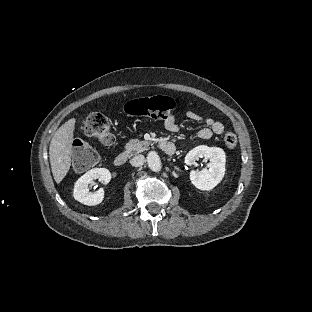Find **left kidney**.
<instances>
[{"instance_id":"1","label":"left kidney","mask_w":312,"mask_h":312,"mask_svg":"<svg viewBox=\"0 0 312 312\" xmlns=\"http://www.w3.org/2000/svg\"><path fill=\"white\" fill-rule=\"evenodd\" d=\"M210 160L207 168L201 171L192 170L190 172V180L192 184L200 190L213 189L224 177L225 173V152L218 147H208L200 145L189 151L185 157L187 165H195L196 160L199 158Z\"/></svg>"}]
</instances>
